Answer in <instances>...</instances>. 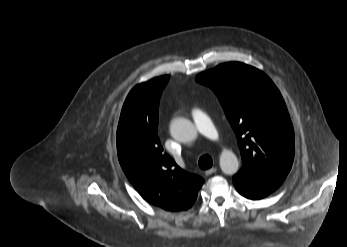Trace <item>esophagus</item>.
<instances>
[{
    "label": "esophagus",
    "mask_w": 347,
    "mask_h": 247,
    "mask_svg": "<svg viewBox=\"0 0 347 247\" xmlns=\"http://www.w3.org/2000/svg\"><path fill=\"white\" fill-rule=\"evenodd\" d=\"M216 170H217L216 167H212V168L206 170V171H205V174H206L207 176H209V175H211L212 173H215Z\"/></svg>",
    "instance_id": "34e87169"
}]
</instances>
